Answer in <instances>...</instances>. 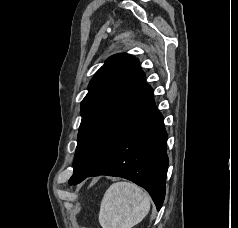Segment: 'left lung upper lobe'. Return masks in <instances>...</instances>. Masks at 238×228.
<instances>
[{"instance_id": "5c2ea615", "label": "left lung upper lobe", "mask_w": 238, "mask_h": 228, "mask_svg": "<svg viewBox=\"0 0 238 228\" xmlns=\"http://www.w3.org/2000/svg\"><path fill=\"white\" fill-rule=\"evenodd\" d=\"M148 86L138 59L126 53L111 56L97 71L81 102L72 176L91 172L105 158Z\"/></svg>"}]
</instances>
